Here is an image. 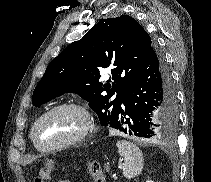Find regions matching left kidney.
Listing matches in <instances>:
<instances>
[{
  "label": "left kidney",
  "instance_id": "left-kidney-1",
  "mask_svg": "<svg viewBox=\"0 0 211 182\" xmlns=\"http://www.w3.org/2000/svg\"><path fill=\"white\" fill-rule=\"evenodd\" d=\"M146 182H154V181H152V180H148V181H146Z\"/></svg>",
  "mask_w": 211,
  "mask_h": 182
}]
</instances>
